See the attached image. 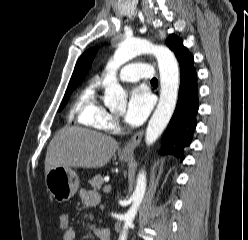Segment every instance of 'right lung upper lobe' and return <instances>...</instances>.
I'll return each mask as SVG.
<instances>
[{
    "instance_id": "1",
    "label": "right lung upper lobe",
    "mask_w": 248,
    "mask_h": 240,
    "mask_svg": "<svg viewBox=\"0 0 248 240\" xmlns=\"http://www.w3.org/2000/svg\"><path fill=\"white\" fill-rule=\"evenodd\" d=\"M98 48L87 50L78 60L70 81H82L89 71Z\"/></svg>"
}]
</instances>
